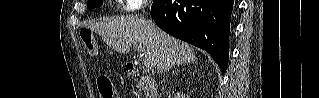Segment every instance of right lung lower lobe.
I'll use <instances>...</instances> for the list:
<instances>
[{
    "mask_svg": "<svg viewBox=\"0 0 319 98\" xmlns=\"http://www.w3.org/2000/svg\"><path fill=\"white\" fill-rule=\"evenodd\" d=\"M232 8L233 0H154L151 16L170 35L206 50L225 72Z\"/></svg>",
    "mask_w": 319,
    "mask_h": 98,
    "instance_id": "1",
    "label": "right lung lower lobe"
}]
</instances>
